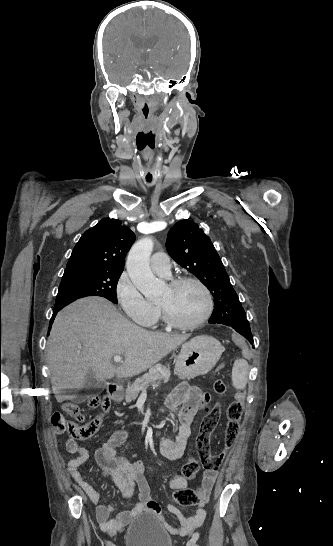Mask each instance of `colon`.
<instances>
[{"instance_id": "1", "label": "colon", "mask_w": 333, "mask_h": 546, "mask_svg": "<svg viewBox=\"0 0 333 546\" xmlns=\"http://www.w3.org/2000/svg\"><path fill=\"white\" fill-rule=\"evenodd\" d=\"M213 390L217 394H222L226 391V384L223 380L217 379L214 381ZM234 401L227 408V427L225 431V450L219 454L210 452V436L216 428L220 418V407L215 405L208 407L210 395L205 393L201 398V404L205 409V416L201 422L200 432L196 439V453L198 459L189 457L183 465L182 473L186 478L196 476L200 470V466L207 471L216 472L223 464L226 450L233 447L243 412V401L245 399L244 389L240 386L235 392ZM87 405L91 408L100 406L103 412L110 409V399L105 396L100 398L97 395H92L87 400ZM65 414L78 418L82 415L79 407L74 403H64L62 407ZM102 423V417L96 416L85 424H79L75 421H70L61 413H55L52 416V425L57 433H67L74 439L86 440L91 438L99 429ZM174 500L181 506H189L195 503H201L205 500L203 489H186L181 488L174 493Z\"/></svg>"}]
</instances>
